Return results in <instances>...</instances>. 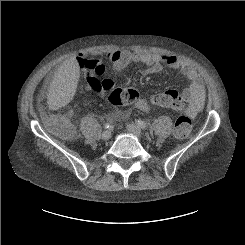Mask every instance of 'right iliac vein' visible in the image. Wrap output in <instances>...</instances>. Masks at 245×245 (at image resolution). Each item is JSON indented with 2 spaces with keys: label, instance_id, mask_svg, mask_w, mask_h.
<instances>
[{
  "label": "right iliac vein",
  "instance_id": "right-iliac-vein-1",
  "mask_svg": "<svg viewBox=\"0 0 245 245\" xmlns=\"http://www.w3.org/2000/svg\"><path fill=\"white\" fill-rule=\"evenodd\" d=\"M111 136H112V132L110 130H105L101 135L102 139L104 140H109Z\"/></svg>",
  "mask_w": 245,
  "mask_h": 245
}]
</instances>
